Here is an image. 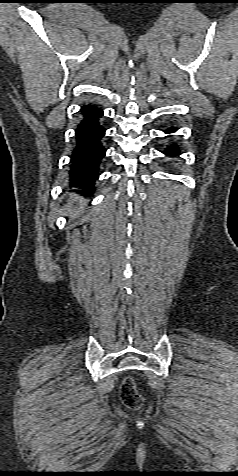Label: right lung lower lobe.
Returning <instances> with one entry per match:
<instances>
[{"label": "right lung lower lobe", "instance_id": "obj_1", "mask_svg": "<svg viewBox=\"0 0 238 476\" xmlns=\"http://www.w3.org/2000/svg\"><path fill=\"white\" fill-rule=\"evenodd\" d=\"M80 113L82 120L75 131L76 146L71 155L69 174L75 181L93 187L106 152L103 146L105 128L100 122L103 111L90 103L82 106Z\"/></svg>", "mask_w": 238, "mask_h": 476}]
</instances>
